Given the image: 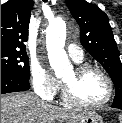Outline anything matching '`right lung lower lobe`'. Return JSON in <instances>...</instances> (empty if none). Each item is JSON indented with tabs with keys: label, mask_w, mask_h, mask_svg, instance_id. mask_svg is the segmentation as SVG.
<instances>
[{
	"label": "right lung lower lobe",
	"mask_w": 122,
	"mask_h": 123,
	"mask_svg": "<svg viewBox=\"0 0 122 123\" xmlns=\"http://www.w3.org/2000/svg\"><path fill=\"white\" fill-rule=\"evenodd\" d=\"M29 80L1 71V94L29 90Z\"/></svg>",
	"instance_id": "right-lung-lower-lobe-1"
}]
</instances>
